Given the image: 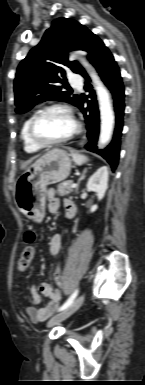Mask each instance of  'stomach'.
I'll return each instance as SVG.
<instances>
[{
  "mask_svg": "<svg viewBox=\"0 0 145 385\" xmlns=\"http://www.w3.org/2000/svg\"><path fill=\"white\" fill-rule=\"evenodd\" d=\"M70 170L71 159L63 149H52L40 157L16 182L14 198L19 211L29 219L42 222L47 186L64 181Z\"/></svg>",
  "mask_w": 145,
  "mask_h": 385,
  "instance_id": "0dacf381",
  "label": "stomach"
}]
</instances>
